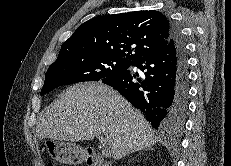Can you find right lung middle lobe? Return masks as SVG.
Returning <instances> with one entry per match:
<instances>
[{"instance_id": "1", "label": "right lung middle lobe", "mask_w": 231, "mask_h": 166, "mask_svg": "<svg viewBox=\"0 0 231 166\" xmlns=\"http://www.w3.org/2000/svg\"><path fill=\"white\" fill-rule=\"evenodd\" d=\"M132 61L100 53L72 54L57 58L45 74L41 95L67 84L99 81L127 70Z\"/></svg>"}]
</instances>
